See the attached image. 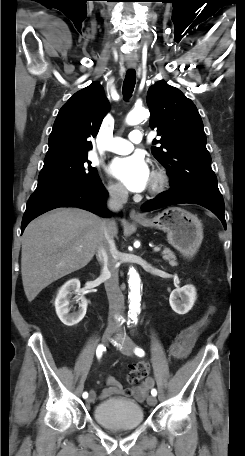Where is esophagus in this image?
I'll return each mask as SVG.
<instances>
[{
    "mask_svg": "<svg viewBox=\"0 0 245 456\" xmlns=\"http://www.w3.org/2000/svg\"><path fill=\"white\" fill-rule=\"evenodd\" d=\"M129 68H135V66L130 65ZM129 216L132 220H142L143 219V216L134 209H132L130 211Z\"/></svg>",
    "mask_w": 245,
    "mask_h": 456,
    "instance_id": "1",
    "label": "esophagus"
}]
</instances>
